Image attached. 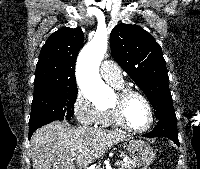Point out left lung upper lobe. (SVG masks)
Listing matches in <instances>:
<instances>
[{"label": "left lung upper lobe", "mask_w": 200, "mask_h": 169, "mask_svg": "<svg viewBox=\"0 0 200 169\" xmlns=\"http://www.w3.org/2000/svg\"><path fill=\"white\" fill-rule=\"evenodd\" d=\"M110 42L112 57L146 94L156 118L176 119L166 63L155 39L139 26L120 24Z\"/></svg>", "instance_id": "1"}]
</instances>
